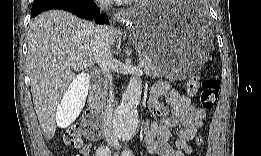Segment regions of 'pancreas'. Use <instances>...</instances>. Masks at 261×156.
Returning a JSON list of instances; mask_svg holds the SVG:
<instances>
[{"instance_id":"cf45deb5","label":"pancreas","mask_w":261,"mask_h":156,"mask_svg":"<svg viewBox=\"0 0 261 156\" xmlns=\"http://www.w3.org/2000/svg\"><path fill=\"white\" fill-rule=\"evenodd\" d=\"M140 60H143L145 62L144 71L148 76L156 77L161 75L159 68H157L154 65L150 57L146 55H142L140 57ZM94 95H95L96 103L98 105H104L107 96L106 86L102 87L101 83H99L97 85V88L95 89Z\"/></svg>"}]
</instances>
